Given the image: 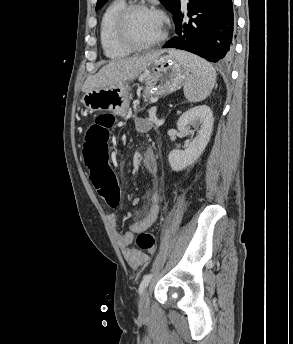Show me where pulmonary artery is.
<instances>
[{"label":"pulmonary artery","instance_id":"e3ab8cb5","mask_svg":"<svg viewBox=\"0 0 293 344\" xmlns=\"http://www.w3.org/2000/svg\"><path fill=\"white\" fill-rule=\"evenodd\" d=\"M181 2L186 5L188 3V0H181Z\"/></svg>","mask_w":293,"mask_h":344}]
</instances>
